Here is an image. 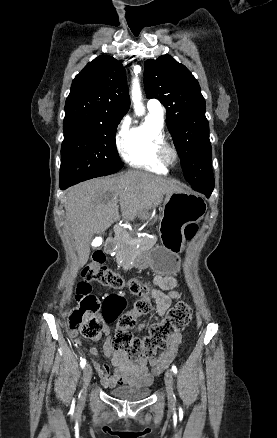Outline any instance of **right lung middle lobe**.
<instances>
[{
	"label": "right lung middle lobe",
	"mask_w": 277,
	"mask_h": 438,
	"mask_svg": "<svg viewBox=\"0 0 277 438\" xmlns=\"http://www.w3.org/2000/svg\"><path fill=\"white\" fill-rule=\"evenodd\" d=\"M119 122L64 119L60 183L76 184L113 174L123 167L115 145Z\"/></svg>",
	"instance_id": "right-lung-middle-lobe-1"
}]
</instances>
